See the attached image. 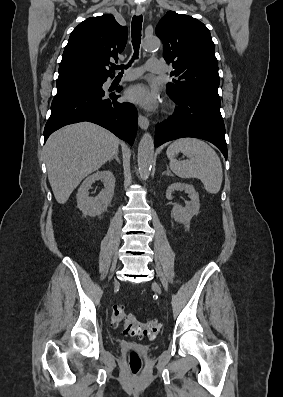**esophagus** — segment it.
I'll return each mask as SVG.
<instances>
[{
  "mask_svg": "<svg viewBox=\"0 0 283 397\" xmlns=\"http://www.w3.org/2000/svg\"><path fill=\"white\" fill-rule=\"evenodd\" d=\"M142 13H143V8H142V6H137V8H136V15L139 16V15H141ZM138 123H139L140 128L143 129V130L148 129V127H149V120H148V118L145 117V116L142 115V114H139Z\"/></svg>",
  "mask_w": 283,
  "mask_h": 397,
  "instance_id": "obj_1",
  "label": "esophagus"
}]
</instances>
